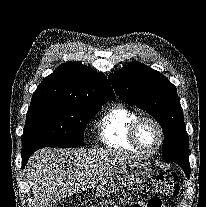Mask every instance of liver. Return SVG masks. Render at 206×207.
<instances>
[{
	"label": "liver",
	"mask_w": 206,
	"mask_h": 207,
	"mask_svg": "<svg viewBox=\"0 0 206 207\" xmlns=\"http://www.w3.org/2000/svg\"><path fill=\"white\" fill-rule=\"evenodd\" d=\"M138 158L112 150L42 148L25 167L34 207H52L67 196L91 189Z\"/></svg>",
	"instance_id": "obj_1"
}]
</instances>
